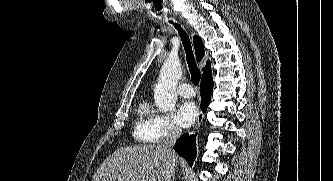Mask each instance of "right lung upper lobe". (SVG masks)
<instances>
[{"label": "right lung upper lobe", "instance_id": "obj_1", "mask_svg": "<svg viewBox=\"0 0 333 181\" xmlns=\"http://www.w3.org/2000/svg\"><path fill=\"white\" fill-rule=\"evenodd\" d=\"M193 42H194L197 61H200L205 54L203 43L198 36H194ZM206 78H211V68H210L209 61H207L206 66L203 68V78L202 79H206Z\"/></svg>", "mask_w": 333, "mask_h": 181}]
</instances>
